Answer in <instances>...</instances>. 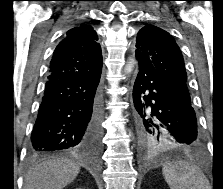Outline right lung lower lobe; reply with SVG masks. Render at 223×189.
Returning <instances> with one entry per match:
<instances>
[{
  "label": "right lung lower lobe",
  "mask_w": 223,
  "mask_h": 189,
  "mask_svg": "<svg viewBox=\"0 0 223 189\" xmlns=\"http://www.w3.org/2000/svg\"><path fill=\"white\" fill-rule=\"evenodd\" d=\"M101 71L83 78L48 80L31 134L32 154L100 146Z\"/></svg>",
  "instance_id": "right-lung-lower-lobe-1"
}]
</instances>
